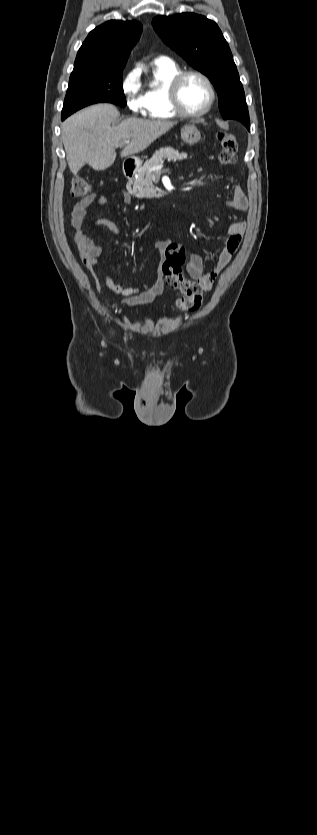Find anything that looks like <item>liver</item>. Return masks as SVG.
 Wrapping results in <instances>:
<instances>
[{"label":"liver","mask_w":317,"mask_h":835,"mask_svg":"<svg viewBox=\"0 0 317 835\" xmlns=\"http://www.w3.org/2000/svg\"><path fill=\"white\" fill-rule=\"evenodd\" d=\"M118 109L112 104H96L68 117L62 124V141L68 166L76 174L85 164L95 170L110 167L116 148L129 140L121 157L144 151L166 134L177 122L129 118L117 125Z\"/></svg>","instance_id":"6515ba94"}]
</instances>
